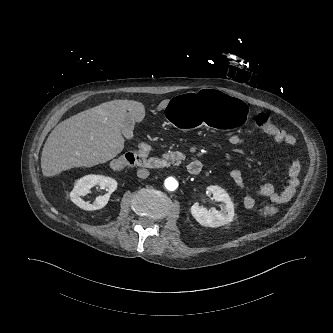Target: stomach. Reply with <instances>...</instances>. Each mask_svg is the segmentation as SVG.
I'll return each mask as SVG.
<instances>
[{
  "instance_id": "stomach-1",
  "label": "stomach",
  "mask_w": 333,
  "mask_h": 333,
  "mask_svg": "<svg viewBox=\"0 0 333 333\" xmlns=\"http://www.w3.org/2000/svg\"><path fill=\"white\" fill-rule=\"evenodd\" d=\"M166 113L181 129L206 127L237 131L249 119L248 107L240 99L205 90L173 97L166 106Z\"/></svg>"
}]
</instances>
